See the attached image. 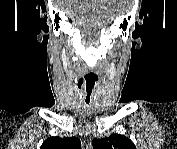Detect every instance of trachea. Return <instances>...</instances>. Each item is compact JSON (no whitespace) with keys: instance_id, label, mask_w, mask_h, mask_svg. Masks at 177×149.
I'll return each instance as SVG.
<instances>
[{"instance_id":"obj_1","label":"trachea","mask_w":177,"mask_h":149,"mask_svg":"<svg viewBox=\"0 0 177 149\" xmlns=\"http://www.w3.org/2000/svg\"><path fill=\"white\" fill-rule=\"evenodd\" d=\"M90 96H91V90H88L87 95H86V103L87 104L90 102Z\"/></svg>"}]
</instances>
